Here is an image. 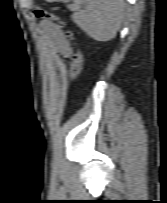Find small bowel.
Masks as SVG:
<instances>
[{
  "instance_id": "small-bowel-1",
  "label": "small bowel",
  "mask_w": 167,
  "mask_h": 203,
  "mask_svg": "<svg viewBox=\"0 0 167 203\" xmlns=\"http://www.w3.org/2000/svg\"><path fill=\"white\" fill-rule=\"evenodd\" d=\"M40 28L54 53L59 55L64 60L70 58L72 49L65 38L62 36V33L56 24L44 20L40 22Z\"/></svg>"
}]
</instances>
